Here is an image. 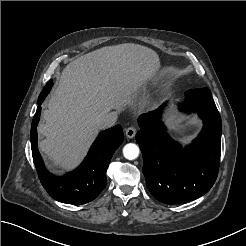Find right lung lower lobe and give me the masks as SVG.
<instances>
[{
    "label": "right lung lower lobe",
    "instance_id": "obj_1",
    "mask_svg": "<svg viewBox=\"0 0 246 246\" xmlns=\"http://www.w3.org/2000/svg\"><path fill=\"white\" fill-rule=\"evenodd\" d=\"M44 98L38 102L31 126L32 156L39 179L48 194L57 201L68 204L88 203L95 199L107 184L106 170L115 150L124 140L122 128L116 125L101 132L83 163L73 172L57 177L46 170L37 147L36 127Z\"/></svg>",
    "mask_w": 246,
    "mask_h": 246
}]
</instances>
